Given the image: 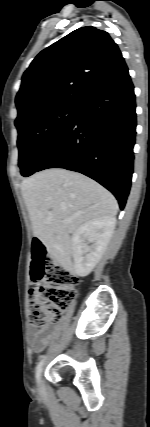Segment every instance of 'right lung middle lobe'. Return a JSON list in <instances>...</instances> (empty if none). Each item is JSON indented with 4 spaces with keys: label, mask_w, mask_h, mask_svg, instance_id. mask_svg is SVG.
I'll return each mask as SVG.
<instances>
[{
    "label": "right lung middle lobe",
    "mask_w": 150,
    "mask_h": 427,
    "mask_svg": "<svg viewBox=\"0 0 150 427\" xmlns=\"http://www.w3.org/2000/svg\"><path fill=\"white\" fill-rule=\"evenodd\" d=\"M78 106L51 105L34 109L16 119L19 167L25 177L33 174L73 120Z\"/></svg>",
    "instance_id": "dd1d6c3e"
}]
</instances>
